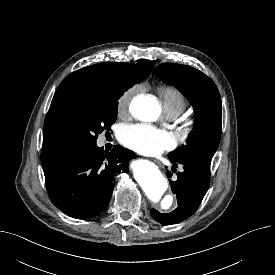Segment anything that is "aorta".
I'll return each mask as SVG.
<instances>
[{"label":"aorta","mask_w":275,"mask_h":275,"mask_svg":"<svg viewBox=\"0 0 275 275\" xmlns=\"http://www.w3.org/2000/svg\"><path fill=\"white\" fill-rule=\"evenodd\" d=\"M130 112L139 120L153 121L160 114V105L153 96L139 95L132 100ZM133 174L149 200L159 204L163 209L170 208L173 203V197L167 195L162 198L168 188V184L166 178L155 164L139 160L133 165Z\"/></svg>","instance_id":"762f6f07"}]
</instances>
